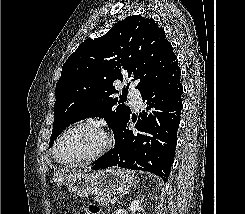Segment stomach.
Wrapping results in <instances>:
<instances>
[{
    "mask_svg": "<svg viewBox=\"0 0 245 214\" xmlns=\"http://www.w3.org/2000/svg\"><path fill=\"white\" fill-rule=\"evenodd\" d=\"M51 181L57 187L65 184L73 194L85 197L90 194L111 196L124 193L136 183V178L130 171L114 167L93 174L74 171L66 177L56 172Z\"/></svg>",
    "mask_w": 245,
    "mask_h": 214,
    "instance_id": "stomach-1",
    "label": "stomach"
}]
</instances>
